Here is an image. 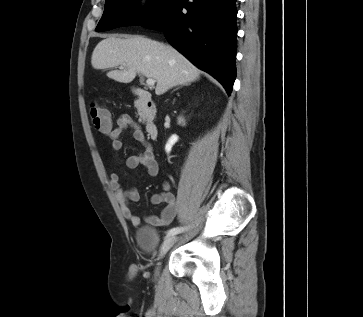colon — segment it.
I'll list each match as a JSON object with an SVG mask.
<instances>
[{"label":"colon","instance_id":"1","mask_svg":"<svg viewBox=\"0 0 363 317\" xmlns=\"http://www.w3.org/2000/svg\"><path fill=\"white\" fill-rule=\"evenodd\" d=\"M90 118L93 126L100 132L110 129L111 121L109 113L103 106L92 103L90 106Z\"/></svg>","mask_w":363,"mask_h":317}]
</instances>
